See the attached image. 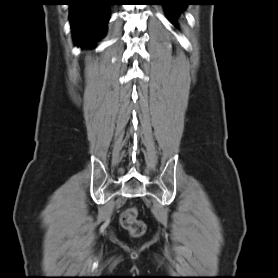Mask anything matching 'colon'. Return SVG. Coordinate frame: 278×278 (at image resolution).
<instances>
[{
	"label": "colon",
	"mask_w": 278,
	"mask_h": 278,
	"mask_svg": "<svg viewBox=\"0 0 278 278\" xmlns=\"http://www.w3.org/2000/svg\"><path fill=\"white\" fill-rule=\"evenodd\" d=\"M122 226L132 235L139 236L144 233L145 225L138 219L137 210L135 208L126 209L120 218Z\"/></svg>",
	"instance_id": "5ec220e1"
}]
</instances>
